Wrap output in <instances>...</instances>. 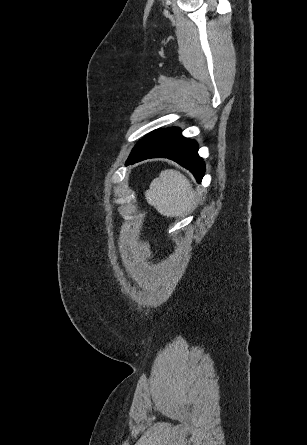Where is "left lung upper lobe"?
<instances>
[{
  "label": "left lung upper lobe",
  "instance_id": "obj_1",
  "mask_svg": "<svg viewBox=\"0 0 307 445\" xmlns=\"http://www.w3.org/2000/svg\"><path fill=\"white\" fill-rule=\"evenodd\" d=\"M160 131H161L160 129H157V130L151 132L148 136H146V137H144L143 139H141V140L137 143V145L133 148L132 153L130 154V156H131L134 152H136V151L143 145V143H145L150 137L156 135V134H157L158 132H160ZM130 156H129V157H130Z\"/></svg>",
  "mask_w": 307,
  "mask_h": 445
}]
</instances>
